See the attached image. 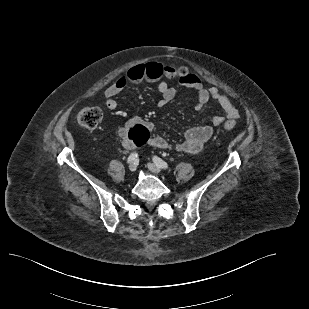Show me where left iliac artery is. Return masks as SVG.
Instances as JSON below:
<instances>
[{"label": "left iliac artery", "mask_w": 309, "mask_h": 309, "mask_svg": "<svg viewBox=\"0 0 309 309\" xmlns=\"http://www.w3.org/2000/svg\"><path fill=\"white\" fill-rule=\"evenodd\" d=\"M153 162L159 167V168H162V169H168V164L163 161L161 158L157 157V156H154L153 157Z\"/></svg>", "instance_id": "1"}]
</instances>
